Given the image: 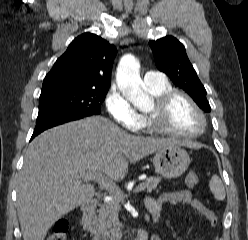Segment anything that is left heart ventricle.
I'll use <instances>...</instances> for the list:
<instances>
[{
  "instance_id": "left-heart-ventricle-1",
  "label": "left heart ventricle",
  "mask_w": 248,
  "mask_h": 240,
  "mask_svg": "<svg viewBox=\"0 0 248 240\" xmlns=\"http://www.w3.org/2000/svg\"><path fill=\"white\" fill-rule=\"evenodd\" d=\"M161 121L164 127L181 133H193L202 127L200 116L183 97H177L171 102Z\"/></svg>"
}]
</instances>
